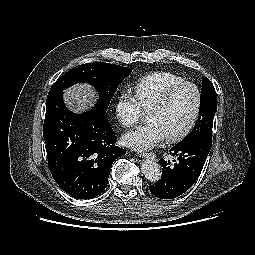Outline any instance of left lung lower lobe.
Instances as JSON below:
<instances>
[{
    "label": "left lung lower lobe",
    "mask_w": 255,
    "mask_h": 255,
    "mask_svg": "<svg viewBox=\"0 0 255 255\" xmlns=\"http://www.w3.org/2000/svg\"><path fill=\"white\" fill-rule=\"evenodd\" d=\"M211 146L212 139L202 137L172 147L170 154L178 161L170 166V162L160 160L162 177L150 186L151 193L157 198L173 199L186 192L199 177Z\"/></svg>",
    "instance_id": "obj_1"
}]
</instances>
